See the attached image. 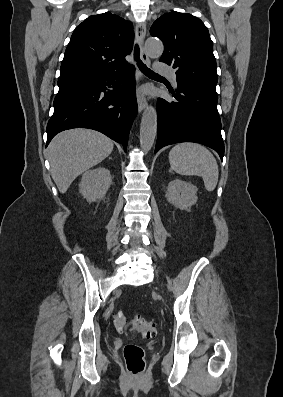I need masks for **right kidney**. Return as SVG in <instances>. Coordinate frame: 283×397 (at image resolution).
Instances as JSON below:
<instances>
[{
    "instance_id": "obj_1",
    "label": "right kidney",
    "mask_w": 283,
    "mask_h": 397,
    "mask_svg": "<svg viewBox=\"0 0 283 397\" xmlns=\"http://www.w3.org/2000/svg\"><path fill=\"white\" fill-rule=\"evenodd\" d=\"M112 182L110 171L104 167H98L86 171L79 185V192L89 202H95L105 197Z\"/></svg>"
}]
</instances>
